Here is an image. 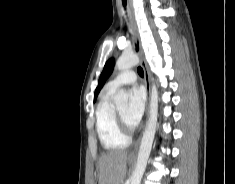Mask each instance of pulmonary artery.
I'll return each mask as SVG.
<instances>
[{
	"instance_id": "obj_1",
	"label": "pulmonary artery",
	"mask_w": 235,
	"mask_h": 184,
	"mask_svg": "<svg viewBox=\"0 0 235 184\" xmlns=\"http://www.w3.org/2000/svg\"><path fill=\"white\" fill-rule=\"evenodd\" d=\"M136 80L137 75L133 70L123 71L107 83L106 90L108 92H113L118 87L134 84Z\"/></svg>"
}]
</instances>
